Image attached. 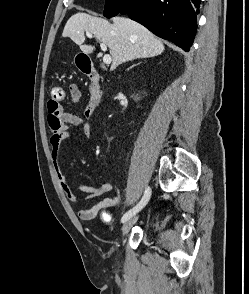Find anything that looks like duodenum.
<instances>
[{"instance_id": "410a0bca", "label": "duodenum", "mask_w": 249, "mask_h": 294, "mask_svg": "<svg viewBox=\"0 0 249 294\" xmlns=\"http://www.w3.org/2000/svg\"><path fill=\"white\" fill-rule=\"evenodd\" d=\"M81 69L90 80L89 99L85 110L86 116L89 117L97 110L102 101V94L99 86L100 75L98 70L94 68L90 62H86Z\"/></svg>"}]
</instances>
